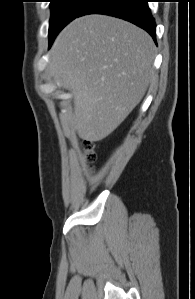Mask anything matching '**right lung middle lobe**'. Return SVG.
Here are the masks:
<instances>
[{
  "mask_svg": "<svg viewBox=\"0 0 195 299\" xmlns=\"http://www.w3.org/2000/svg\"><path fill=\"white\" fill-rule=\"evenodd\" d=\"M91 0H51V18L49 26V43H53L58 33L75 19Z\"/></svg>",
  "mask_w": 195,
  "mask_h": 299,
  "instance_id": "dd1d6c3e",
  "label": "right lung middle lobe"
}]
</instances>
